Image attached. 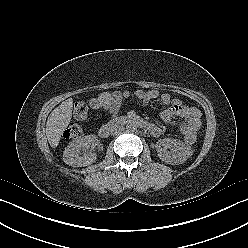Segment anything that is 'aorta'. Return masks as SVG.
<instances>
[{"instance_id": "1", "label": "aorta", "mask_w": 248, "mask_h": 248, "mask_svg": "<svg viewBox=\"0 0 248 248\" xmlns=\"http://www.w3.org/2000/svg\"><path fill=\"white\" fill-rule=\"evenodd\" d=\"M137 129V126L134 122H128L126 125V130L128 132H134Z\"/></svg>"}]
</instances>
